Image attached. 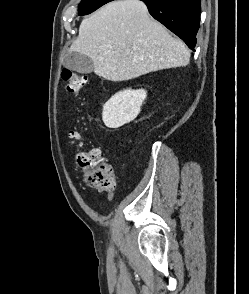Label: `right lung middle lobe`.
<instances>
[{"label":"right lung middle lobe","mask_w":249,"mask_h":294,"mask_svg":"<svg viewBox=\"0 0 249 294\" xmlns=\"http://www.w3.org/2000/svg\"><path fill=\"white\" fill-rule=\"evenodd\" d=\"M113 0H82L79 4V15H87Z\"/></svg>","instance_id":"right-lung-middle-lobe-1"}]
</instances>
